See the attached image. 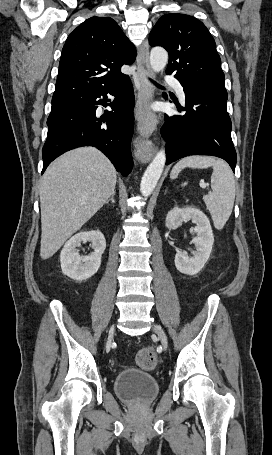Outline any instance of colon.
Returning <instances> with one entry per match:
<instances>
[{"instance_id": "1", "label": "colon", "mask_w": 272, "mask_h": 455, "mask_svg": "<svg viewBox=\"0 0 272 455\" xmlns=\"http://www.w3.org/2000/svg\"><path fill=\"white\" fill-rule=\"evenodd\" d=\"M156 360V355L150 347L142 348L136 355L137 365L145 370L152 369Z\"/></svg>"}]
</instances>
